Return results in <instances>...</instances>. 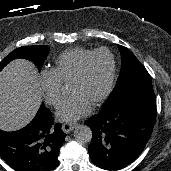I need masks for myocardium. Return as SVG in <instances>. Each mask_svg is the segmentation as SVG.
<instances>
[{"instance_id": "myocardium-1", "label": "myocardium", "mask_w": 171, "mask_h": 171, "mask_svg": "<svg viewBox=\"0 0 171 171\" xmlns=\"http://www.w3.org/2000/svg\"><path fill=\"white\" fill-rule=\"evenodd\" d=\"M101 53L107 54L110 57L111 71H110V76H109V80H108L106 89L103 92V94L97 99V101L93 104V107L100 106L110 96V94L113 90L114 82H115V78H116V70H117L116 58H115V55L113 54V52L110 51L108 48H99V49L94 50L91 54H89L81 62V64L77 68L76 72L73 74V76L71 77V79L69 81V83H70L72 81L80 79L83 76V74L87 68V65L92 60V58Z\"/></svg>"}]
</instances>
